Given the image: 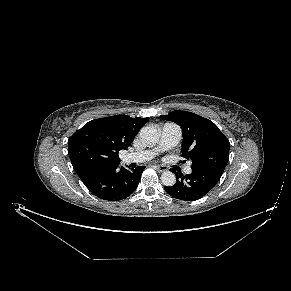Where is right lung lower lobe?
<instances>
[{
  "instance_id": "98d812e1",
  "label": "right lung lower lobe",
  "mask_w": 291,
  "mask_h": 291,
  "mask_svg": "<svg viewBox=\"0 0 291 291\" xmlns=\"http://www.w3.org/2000/svg\"><path fill=\"white\" fill-rule=\"evenodd\" d=\"M144 166L127 170L123 166L97 163L78 172V176L95 196L108 201L127 198L137 188Z\"/></svg>"
}]
</instances>
